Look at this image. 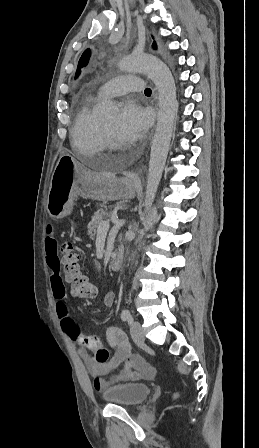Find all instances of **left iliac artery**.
Returning a JSON list of instances; mask_svg holds the SVG:
<instances>
[{
    "label": "left iliac artery",
    "mask_w": 259,
    "mask_h": 448,
    "mask_svg": "<svg viewBox=\"0 0 259 448\" xmlns=\"http://www.w3.org/2000/svg\"><path fill=\"white\" fill-rule=\"evenodd\" d=\"M121 319L123 321H128L129 323L133 322L132 315L128 309H124L121 313Z\"/></svg>",
    "instance_id": "left-iliac-artery-1"
}]
</instances>
